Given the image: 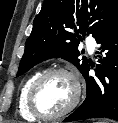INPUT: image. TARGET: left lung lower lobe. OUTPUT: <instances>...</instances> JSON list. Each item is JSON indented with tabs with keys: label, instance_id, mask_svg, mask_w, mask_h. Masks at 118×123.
I'll use <instances>...</instances> for the list:
<instances>
[{
	"label": "left lung lower lobe",
	"instance_id": "left-lung-lower-lobe-1",
	"mask_svg": "<svg viewBox=\"0 0 118 123\" xmlns=\"http://www.w3.org/2000/svg\"><path fill=\"white\" fill-rule=\"evenodd\" d=\"M96 77L89 76L90 66L83 76L87 93L84 102L64 122L90 118H111L118 121V17L96 38Z\"/></svg>",
	"mask_w": 118,
	"mask_h": 123
}]
</instances>
